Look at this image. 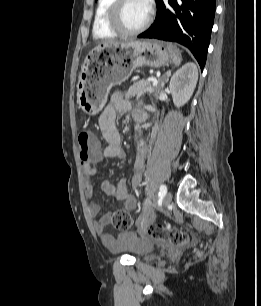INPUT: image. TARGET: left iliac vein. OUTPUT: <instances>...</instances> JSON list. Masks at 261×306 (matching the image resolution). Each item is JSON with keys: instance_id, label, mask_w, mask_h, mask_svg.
I'll list each match as a JSON object with an SVG mask.
<instances>
[{"instance_id": "left-iliac-vein-1", "label": "left iliac vein", "mask_w": 261, "mask_h": 306, "mask_svg": "<svg viewBox=\"0 0 261 306\" xmlns=\"http://www.w3.org/2000/svg\"><path fill=\"white\" fill-rule=\"evenodd\" d=\"M171 200H172V194L171 192H167L163 198L162 206L166 207L167 205L170 204Z\"/></svg>"}]
</instances>
